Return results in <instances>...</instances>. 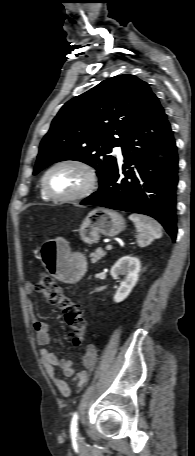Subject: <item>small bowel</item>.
Returning a JSON list of instances; mask_svg holds the SVG:
<instances>
[{
  "label": "small bowel",
  "mask_w": 195,
  "mask_h": 456,
  "mask_svg": "<svg viewBox=\"0 0 195 456\" xmlns=\"http://www.w3.org/2000/svg\"><path fill=\"white\" fill-rule=\"evenodd\" d=\"M25 292L27 294L32 293V285L30 283L25 285ZM29 309L34 320L33 330L36 341L41 347L40 356L45 371L59 392L65 397L69 396L71 393V384L76 383L79 387H82L87 381L88 374L85 370L77 371L72 361L59 358L48 350L47 346L51 340L49 326L47 323L36 319L31 300L29 301ZM96 353L97 347L94 344H89L86 347L82 357V364L85 368H90L93 365ZM65 378L70 381H67Z\"/></svg>",
  "instance_id": "c3829d8e"
}]
</instances>
